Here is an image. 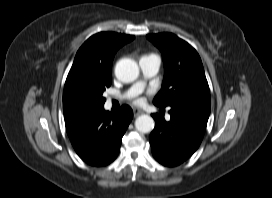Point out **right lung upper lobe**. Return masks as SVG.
<instances>
[{
    "label": "right lung upper lobe",
    "instance_id": "cb5924a9",
    "mask_svg": "<svg viewBox=\"0 0 272 198\" xmlns=\"http://www.w3.org/2000/svg\"><path fill=\"white\" fill-rule=\"evenodd\" d=\"M133 39V35L100 32L80 47L64 86L65 122L94 109L95 86L112 78V62L116 51Z\"/></svg>",
    "mask_w": 272,
    "mask_h": 198
}]
</instances>
